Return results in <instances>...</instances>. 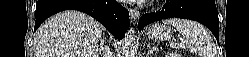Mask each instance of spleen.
Returning <instances> with one entry per match:
<instances>
[{
  "label": "spleen",
  "instance_id": "obj_1",
  "mask_svg": "<svg viewBox=\"0 0 249 57\" xmlns=\"http://www.w3.org/2000/svg\"><path fill=\"white\" fill-rule=\"evenodd\" d=\"M163 24L172 25L177 28L184 37L186 47L202 57H213L212 51L215 49L213 39L207 30L199 23L187 19L169 18ZM172 47H182V44H171Z\"/></svg>",
  "mask_w": 249,
  "mask_h": 57
}]
</instances>
